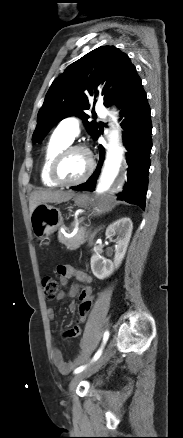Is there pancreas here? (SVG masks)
Returning <instances> with one entry per match:
<instances>
[{"mask_svg": "<svg viewBox=\"0 0 183 438\" xmlns=\"http://www.w3.org/2000/svg\"><path fill=\"white\" fill-rule=\"evenodd\" d=\"M86 234V228L80 226L75 236L71 238H67L61 232H58V240L60 243L64 244L68 250H76L80 247V245L85 243Z\"/></svg>", "mask_w": 183, "mask_h": 438, "instance_id": "cf45deb5", "label": "pancreas"}]
</instances>
